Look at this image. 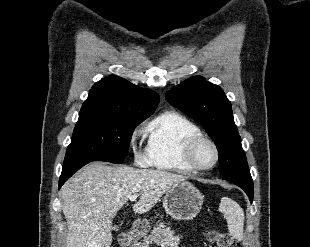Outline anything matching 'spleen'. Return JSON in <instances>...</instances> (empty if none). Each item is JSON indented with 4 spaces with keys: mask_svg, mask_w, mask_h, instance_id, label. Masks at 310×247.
<instances>
[{
    "mask_svg": "<svg viewBox=\"0 0 310 247\" xmlns=\"http://www.w3.org/2000/svg\"><path fill=\"white\" fill-rule=\"evenodd\" d=\"M219 210L225 215L230 235L241 241L243 239L244 211L234 200L224 197L221 199Z\"/></svg>",
    "mask_w": 310,
    "mask_h": 247,
    "instance_id": "3e777b00",
    "label": "spleen"
}]
</instances>
